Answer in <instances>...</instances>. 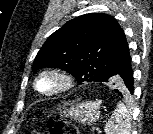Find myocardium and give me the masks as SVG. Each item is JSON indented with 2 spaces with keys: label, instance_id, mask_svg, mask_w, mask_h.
<instances>
[{
  "label": "myocardium",
  "instance_id": "f54148a6",
  "mask_svg": "<svg viewBox=\"0 0 153 134\" xmlns=\"http://www.w3.org/2000/svg\"><path fill=\"white\" fill-rule=\"evenodd\" d=\"M45 76H51L54 77L58 80L59 84L58 86L51 90V91H42L40 90L38 84L41 78L45 77ZM74 85V78L73 76L68 73L67 71L61 69V68H56V67H50V68H46L43 69L35 78L34 80V88L35 90L43 95V96H47V97H52V96H56L62 93L67 92L68 90H70Z\"/></svg>",
  "mask_w": 153,
  "mask_h": 134
}]
</instances>
